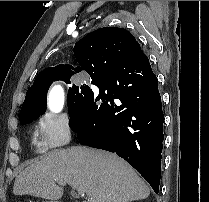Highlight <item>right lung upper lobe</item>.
<instances>
[{"label": "right lung upper lobe", "instance_id": "cb5924a9", "mask_svg": "<svg viewBox=\"0 0 209 202\" xmlns=\"http://www.w3.org/2000/svg\"><path fill=\"white\" fill-rule=\"evenodd\" d=\"M74 55L79 64L76 68L58 65L37 75L34 85L26 93L21 111L43 104L40 93L53 77L86 71L94 81L107 76L125 81L130 68L133 72L140 70L136 59L146 57L135 37L118 27H104L89 33L75 44Z\"/></svg>", "mask_w": 209, "mask_h": 202}]
</instances>
